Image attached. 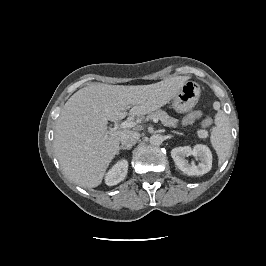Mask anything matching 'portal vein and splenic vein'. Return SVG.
<instances>
[{
  "mask_svg": "<svg viewBox=\"0 0 266 266\" xmlns=\"http://www.w3.org/2000/svg\"><path fill=\"white\" fill-rule=\"evenodd\" d=\"M153 121L155 123H157L159 120L158 118H153ZM136 125V122L132 121V120H126V121H123L120 125H119V128L121 129H126V128H132ZM117 128V127H116ZM115 128V129H116Z\"/></svg>",
  "mask_w": 266,
  "mask_h": 266,
  "instance_id": "1",
  "label": "portal vein and splenic vein"
}]
</instances>
